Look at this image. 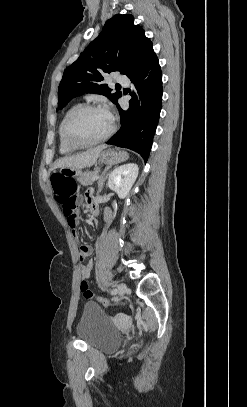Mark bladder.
Returning a JSON list of instances; mask_svg holds the SVG:
<instances>
[{
    "label": "bladder",
    "instance_id": "31cf9c89",
    "mask_svg": "<svg viewBox=\"0 0 247 407\" xmlns=\"http://www.w3.org/2000/svg\"><path fill=\"white\" fill-rule=\"evenodd\" d=\"M78 338L88 346L103 352L116 350L122 343L121 333L109 322L103 310L94 302H87L78 322Z\"/></svg>",
    "mask_w": 247,
    "mask_h": 407
}]
</instances>
